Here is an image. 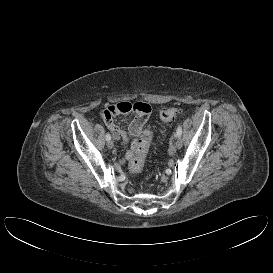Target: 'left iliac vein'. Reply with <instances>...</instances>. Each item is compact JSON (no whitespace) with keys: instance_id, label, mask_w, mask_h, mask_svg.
<instances>
[{"instance_id":"4c4485c4","label":"left iliac vein","mask_w":273,"mask_h":273,"mask_svg":"<svg viewBox=\"0 0 273 273\" xmlns=\"http://www.w3.org/2000/svg\"><path fill=\"white\" fill-rule=\"evenodd\" d=\"M182 145H183V142H182L181 137H177L176 142H175V147L177 149H180L182 147Z\"/></svg>"}]
</instances>
